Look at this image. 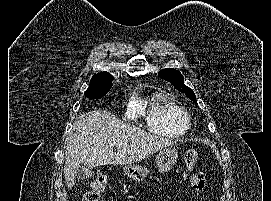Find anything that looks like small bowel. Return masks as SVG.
Returning a JSON list of instances; mask_svg holds the SVG:
<instances>
[{
	"mask_svg": "<svg viewBox=\"0 0 271 201\" xmlns=\"http://www.w3.org/2000/svg\"><path fill=\"white\" fill-rule=\"evenodd\" d=\"M206 185V177L203 173L199 172L191 176L190 186L196 190L201 191Z\"/></svg>",
	"mask_w": 271,
	"mask_h": 201,
	"instance_id": "1",
	"label": "small bowel"
}]
</instances>
